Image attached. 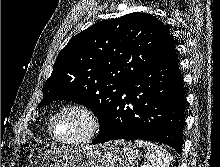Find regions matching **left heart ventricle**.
I'll use <instances>...</instances> for the list:
<instances>
[{"mask_svg":"<svg viewBox=\"0 0 220 167\" xmlns=\"http://www.w3.org/2000/svg\"><path fill=\"white\" fill-rule=\"evenodd\" d=\"M86 118L79 112L69 111L63 113L55 122L54 133L62 139H71L85 132Z\"/></svg>","mask_w":220,"mask_h":167,"instance_id":"1","label":"left heart ventricle"}]
</instances>
